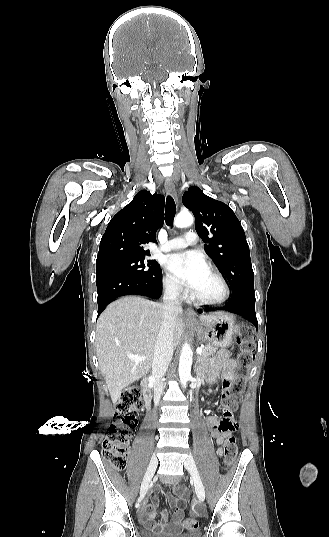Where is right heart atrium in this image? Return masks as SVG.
Returning a JSON list of instances; mask_svg holds the SVG:
<instances>
[{"label": "right heart atrium", "mask_w": 329, "mask_h": 537, "mask_svg": "<svg viewBox=\"0 0 329 537\" xmlns=\"http://www.w3.org/2000/svg\"><path fill=\"white\" fill-rule=\"evenodd\" d=\"M163 287L165 292L175 299L180 298L182 295V286L174 277L169 274H166L163 279Z\"/></svg>", "instance_id": "right-heart-atrium-1"}]
</instances>
